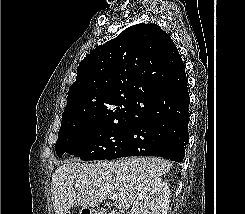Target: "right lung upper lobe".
<instances>
[{"instance_id": "obj_1", "label": "right lung upper lobe", "mask_w": 245, "mask_h": 214, "mask_svg": "<svg viewBox=\"0 0 245 214\" xmlns=\"http://www.w3.org/2000/svg\"><path fill=\"white\" fill-rule=\"evenodd\" d=\"M184 67L158 25H133L81 61L62 116L104 120L135 113L152 94L183 77Z\"/></svg>"}]
</instances>
